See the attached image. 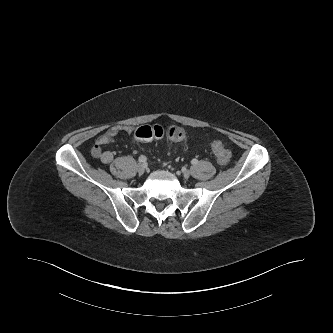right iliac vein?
<instances>
[{"mask_svg": "<svg viewBox=\"0 0 333 333\" xmlns=\"http://www.w3.org/2000/svg\"><path fill=\"white\" fill-rule=\"evenodd\" d=\"M137 171H138L139 174H144L145 171H146V167H145V165H143V164H138V166H137Z\"/></svg>", "mask_w": 333, "mask_h": 333, "instance_id": "63e3f726", "label": "right iliac vein"}]
</instances>
